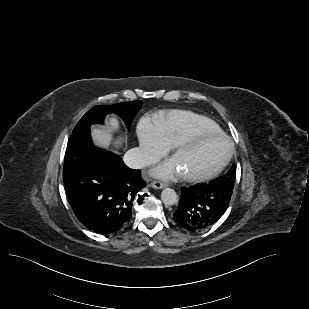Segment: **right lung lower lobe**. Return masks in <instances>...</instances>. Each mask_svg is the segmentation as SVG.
<instances>
[{"instance_id":"obj_1","label":"right lung lower lobe","mask_w":309,"mask_h":309,"mask_svg":"<svg viewBox=\"0 0 309 309\" xmlns=\"http://www.w3.org/2000/svg\"><path fill=\"white\" fill-rule=\"evenodd\" d=\"M63 181L79 221L101 234L128 224L134 197L146 186L140 170L128 168L118 155L92 145L89 127L69 139Z\"/></svg>"}]
</instances>
